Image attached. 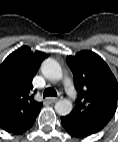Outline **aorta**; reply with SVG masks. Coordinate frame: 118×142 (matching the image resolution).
Segmentation results:
<instances>
[{
  "instance_id": "762f6f07",
  "label": "aorta",
  "mask_w": 118,
  "mask_h": 142,
  "mask_svg": "<svg viewBox=\"0 0 118 142\" xmlns=\"http://www.w3.org/2000/svg\"><path fill=\"white\" fill-rule=\"evenodd\" d=\"M41 71L43 75L50 80L59 81L63 77L61 66L56 60L51 58L44 60L41 65ZM72 109L73 104L69 99L59 100L55 104V110L61 116L70 114Z\"/></svg>"
}]
</instances>
